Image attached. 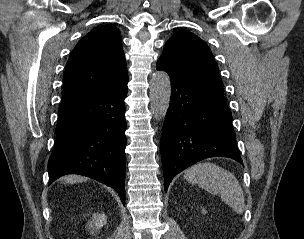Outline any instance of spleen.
I'll list each match as a JSON object with an SVG mask.
<instances>
[{"label": "spleen", "mask_w": 304, "mask_h": 239, "mask_svg": "<svg viewBox=\"0 0 304 239\" xmlns=\"http://www.w3.org/2000/svg\"><path fill=\"white\" fill-rule=\"evenodd\" d=\"M184 178L192 185L219 195L234 212H244L245 198L240 183L229 171L209 162L193 165L184 173Z\"/></svg>", "instance_id": "3e777b00"}]
</instances>
